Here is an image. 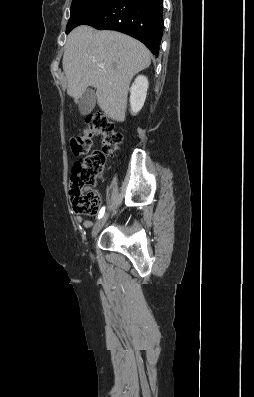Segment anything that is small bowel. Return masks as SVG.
Wrapping results in <instances>:
<instances>
[{
    "mask_svg": "<svg viewBox=\"0 0 254 397\" xmlns=\"http://www.w3.org/2000/svg\"><path fill=\"white\" fill-rule=\"evenodd\" d=\"M76 221L81 222L85 227H90L92 222L86 219H83L81 216H76Z\"/></svg>",
    "mask_w": 254,
    "mask_h": 397,
    "instance_id": "1",
    "label": "small bowel"
}]
</instances>
